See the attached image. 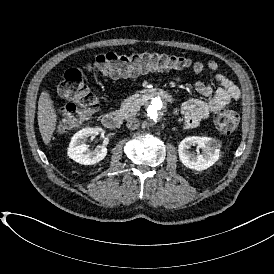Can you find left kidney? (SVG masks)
Masks as SVG:
<instances>
[{
  "instance_id": "5707ae66",
  "label": "left kidney",
  "mask_w": 274,
  "mask_h": 274,
  "mask_svg": "<svg viewBox=\"0 0 274 274\" xmlns=\"http://www.w3.org/2000/svg\"><path fill=\"white\" fill-rule=\"evenodd\" d=\"M195 144L203 150L202 155L195 156L190 153L189 148ZM222 147V141L216 137L192 136L181 141L178 146V154L185 167L202 171L210 168L219 160Z\"/></svg>"
}]
</instances>
